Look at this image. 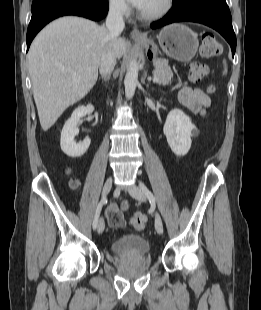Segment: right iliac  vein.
I'll use <instances>...</instances> for the list:
<instances>
[{"instance_id":"right-iliac-vein-1","label":"right iliac vein","mask_w":261,"mask_h":310,"mask_svg":"<svg viewBox=\"0 0 261 310\" xmlns=\"http://www.w3.org/2000/svg\"><path fill=\"white\" fill-rule=\"evenodd\" d=\"M112 183H113V180L111 177L106 180L104 187H103V191H102L103 198H105L110 192L112 188ZM104 228H105L104 220L103 218H100L98 222V227H97L98 233L101 234L104 231Z\"/></svg>"}]
</instances>
